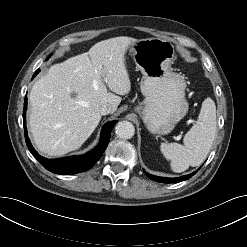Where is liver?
Returning a JSON list of instances; mask_svg holds the SVG:
<instances>
[{
	"label": "liver",
	"instance_id": "1",
	"mask_svg": "<svg viewBox=\"0 0 247 247\" xmlns=\"http://www.w3.org/2000/svg\"><path fill=\"white\" fill-rule=\"evenodd\" d=\"M136 41L125 36L100 41L88 52L54 64L34 83L29 125L39 152L58 157L80 148L101 120L100 107L109 104L117 110L118 95L131 90L125 53Z\"/></svg>",
	"mask_w": 247,
	"mask_h": 247
}]
</instances>
